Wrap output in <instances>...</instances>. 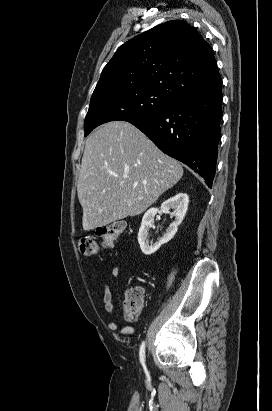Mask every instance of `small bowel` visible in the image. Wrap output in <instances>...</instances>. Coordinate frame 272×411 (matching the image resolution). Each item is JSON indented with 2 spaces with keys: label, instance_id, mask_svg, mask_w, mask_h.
<instances>
[{
  "label": "small bowel",
  "instance_id": "small-bowel-1",
  "mask_svg": "<svg viewBox=\"0 0 272 411\" xmlns=\"http://www.w3.org/2000/svg\"><path fill=\"white\" fill-rule=\"evenodd\" d=\"M120 274H121V269L119 267H114L111 271V277L113 279H117L120 276ZM102 299H103L105 311L109 315L113 316L115 314V310H114V305L112 301V292H111L110 286L107 283L103 284ZM108 328L110 330H118L119 333L123 335H135L136 334V331L133 327L125 326V327L120 328L119 323L117 321H110L108 323Z\"/></svg>",
  "mask_w": 272,
  "mask_h": 411
}]
</instances>
